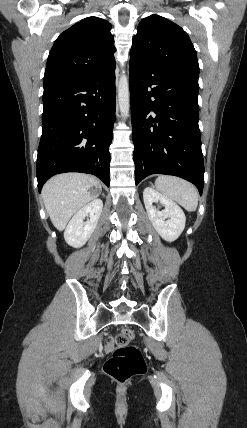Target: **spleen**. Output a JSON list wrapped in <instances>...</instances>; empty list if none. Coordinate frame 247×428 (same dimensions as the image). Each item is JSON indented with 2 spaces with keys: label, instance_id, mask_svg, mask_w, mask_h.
I'll use <instances>...</instances> for the list:
<instances>
[{
  "label": "spleen",
  "instance_id": "obj_1",
  "mask_svg": "<svg viewBox=\"0 0 247 428\" xmlns=\"http://www.w3.org/2000/svg\"><path fill=\"white\" fill-rule=\"evenodd\" d=\"M155 186L164 196L176 201L187 211L197 209L198 192L190 182L175 176L160 175Z\"/></svg>",
  "mask_w": 247,
  "mask_h": 428
}]
</instances>
